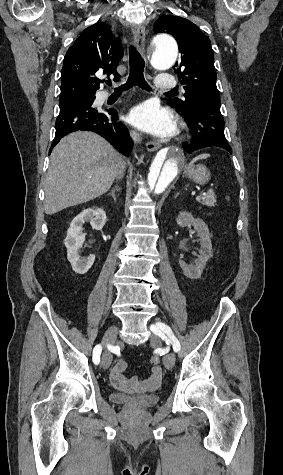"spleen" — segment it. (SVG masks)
<instances>
[{
  "label": "spleen",
  "mask_w": 283,
  "mask_h": 475,
  "mask_svg": "<svg viewBox=\"0 0 283 475\" xmlns=\"http://www.w3.org/2000/svg\"><path fill=\"white\" fill-rule=\"evenodd\" d=\"M205 158H209V154H201V156H197V158H194V160L190 162V166L191 164H194V162H197V160H205ZM226 200H229V196H227Z\"/></svg>",
  "instance_id": "1"
}]
</instances>
